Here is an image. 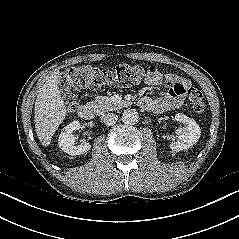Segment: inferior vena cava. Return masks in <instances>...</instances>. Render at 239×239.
Masks as SVG:
<instances>
[{
    "mask_svg": "<svg viewBox=\"0 0 239 239\" xmlns=\"http://www.w3.org/2000/svg\"><path fill=\"white\" fill-rule=\"evenodd\" d=\"M118 116L114 113H104L101 116V121L110 126L117 122Z\"/></svg>",
    "mask_w": 239,
    "mask_h": 239,
    "instance_id": "602c4592",
    "label": "inferior vena cava"
}]
</instances>
